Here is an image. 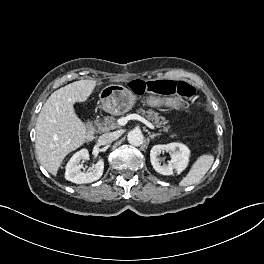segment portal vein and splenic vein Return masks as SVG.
<instances>
[{
	"instance_id": "portal-vein-and-splenic-vein-1",
	"label": "portal vein and splenic vein",
	"mask_w": 264,
	"mask_h": 264,
	"mask_svg": "<svg viewBox=\"0 0 264 264\" xmlns=\"http://www.w3.org/2000/svg\"><path fill=\"white\" fill-rule=\"evenodd\" d=\"M129 120H138V121H141L142 123H144L146 126H148L149 128L151 129H155L154 125L152 123H150L148 120H146L145 118L141 117L140 115L138 114H130L126 117H122L118 120V124L120 126H124L127 124V122Z\"/></svg>"
}]
</instances>
